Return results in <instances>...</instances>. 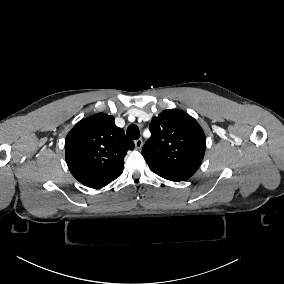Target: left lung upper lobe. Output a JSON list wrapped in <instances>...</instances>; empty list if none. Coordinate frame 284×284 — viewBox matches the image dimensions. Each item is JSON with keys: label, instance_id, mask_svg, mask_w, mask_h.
I'll use <instances>...</instances> for the list:
<instances>
[{"label": "left lung upper lobe", "instance_id": "left-lung-upper-lobe-1", "mask_svg": "<svg viewBox=\"0 0 284 284\" xmlns=\"http://www.w3.org/2000/svg\"><path fill=\"white\" fill-rule=\"evenodd\" d=\"M151 138L142 148L150 169L165 179L182 181L199 168L206 149V137L189 114L170 109L153 117Z\"/></svg>", "mask_w": 284, "mask_h": 284}]
</instances>
